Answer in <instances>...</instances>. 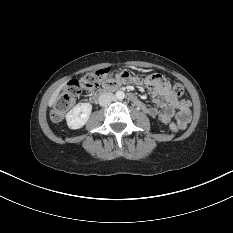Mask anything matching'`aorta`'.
Wrapping results in <instances>:
<instances>
[{"mask_svg": "<svg viewBox=\"0 0 233 233\" xmlns=\"http://www.w3.org/2000/svg\"><path fill=\"white\" fill-rule=\"evenodd\" d=\"M124 97H125V93L123 91H117L116 92V98L118 100H122V99H124Z\"/></svg>", "mask_w": 233, "mask_h": 233, "instance_id": "obj_1", "label": "aorta"}]
</instances>
